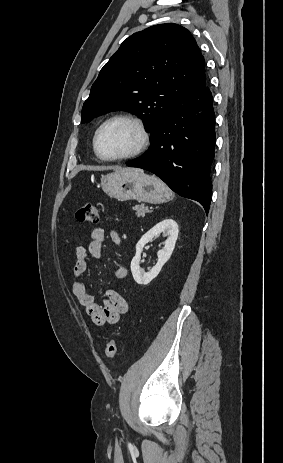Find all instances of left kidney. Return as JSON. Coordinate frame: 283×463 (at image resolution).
<instances>
[{
  "instance_id": "left-kidney-1",
  "label": "left kidney",
  "mask_w": 283,
  "mask_h": 463,
  "mask_svg": "<svg viewBox=\"0 0 283 463\" xmlns=\"http://www.w3.org/2000/svg\"><path fill=\"white\" fill-rule=\"evenodd\" d=\"M163 234L167 237L164 247L157 252L158 261L152 269L145 273L140 269V260L143 247L154 237ZM178 224L173 219H165L157 223L147 233H145L136 244V253L131 261V272L136 283L141 285L149 284L160 273L163 265L170 259L175 248L178 237Z\"/></svg>"
}]
</instances>
